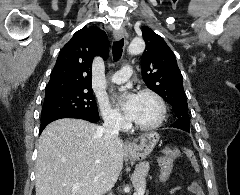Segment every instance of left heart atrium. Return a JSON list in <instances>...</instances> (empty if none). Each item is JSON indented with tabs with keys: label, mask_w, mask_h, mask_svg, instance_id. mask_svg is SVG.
I'll return each mask as SVG.
<instances>
[{
	"label": "left heart atrium",
	"mask_w": 240,
	"mask_h": 195,
	"mask_svg": "<svg viewBox=\"0 0 240 195\" xmlns=\"http://www.w3.org/2000/svg\"><path fill=\"white\" fill-rule=\"evenodd\" d=\"M138 96L136 94H128L121 103V107L126 116L133 119L136 106H137Z\"/></svg>",
	"instance_id": "1"
}]
</instances>
